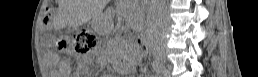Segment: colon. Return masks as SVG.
<instances>
[{"instance_id": "5ec220e1", "label": "colon", "mask_w": 258, "mask_h": 77, "mask_svg": "<svg viewBox=\"0 0 258 77\" xmlns=\"http://www.w3.org/2000/svg\"><path fill=\"white\" fill-rule=\"evenodd\" d=\"M52 12L50 9L45 11L43 27L50 29L51 27ZM96 43V36L90 30H79L76 32L72 39L69 41H63L62 47L65 49H72L77 52H85L92 48ZM137 48L136 46H133Z\"/></svg>"}]
</instances>
